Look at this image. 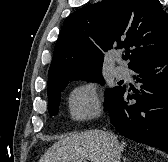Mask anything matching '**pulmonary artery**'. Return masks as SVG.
Segmentation results:
<instances>
[{
  "label": "pulmonary artery",
  "instance_id": "pulmonary-artery-1",
  "mask_svg": "<svg viewBox=\"0 0 168 162\" xmlns=\"http://www.w3.org/2000/svg\"><path fill=\"white\" fill-rule=\"evenodd\" d=\"M115 75L118 78L128 77V70L125 67H117L115 70Z\"/></svg>",
  "mask_w": 168,
  "mask_h": 162
}]
</instances>
